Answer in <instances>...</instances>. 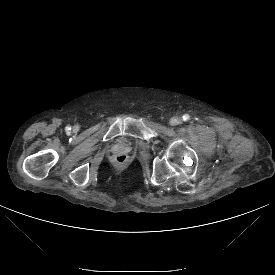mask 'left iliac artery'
<instances>
[{
  "instance_id": "1",
  "label": "left iliac artery",
  "mask_w": 275,
  "mask_h": 275,
  "mask_svg": "<svg viewBox=\"0 0 275 275\" xmlns=\"http://www.w3.org/2000/svg\"><path fill=\"white\" fill-rule=\"evenodd\" d=\"M187 118V115L186 116H183V119L185 120Z\"/></svg>"
}]
</instances>
